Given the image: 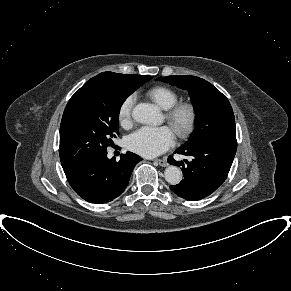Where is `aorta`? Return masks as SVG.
Segmentation results:
<instances>
[{
    "label": "aorta",
    "mask_w": 291,
    "mask_h": 291,
    "mask_svg": "<svg viewBox=\"0 0 291 291\" xmlns=\"http://www.w3.org/2000/svg\"><path fill=\"white\" fill-rule=\"evenodd\" d=\"M133 119L141 124H154L160 118L157 107L148 103H139L132 110ZM165 180L171 185H177L182 180V172L177 166H168L164 171Z\"/></svg>",
    "instance_id": "762f6f07"
}]
</instances>
